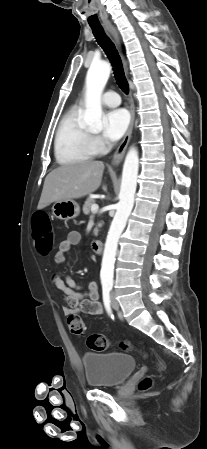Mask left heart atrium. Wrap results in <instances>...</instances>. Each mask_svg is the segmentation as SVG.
I'll return each instance as SVG.
<instances>
[{
	"label": "left heart atrium",
	"instance_id": "39dd6f15",
	"mask_svg": "<svg viewBox=\"0 0 207 449\" xmlns=\"http://www.w3.org/2000/svg\"><path fill=\"white\" fill-rule=\"evenodd\" d=\"M130 117L125 109H116L108 112L104 119V137L109 141L120 139L126 132Z\"/></svg>",
	"mask_w": 207,
	"mask_h": 449
}]
</instances>
